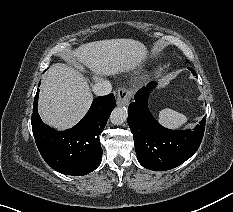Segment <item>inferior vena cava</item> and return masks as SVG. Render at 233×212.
Wrapping results in <instances>:
<instances>
[{
  "label": "inferior vena cava",
  "instance_id": "inferior-vena-cava-1",
  "mask_svg": "<svg viewBox=\"0 0 233 212\" xmlns=\"http://www.w3.org/2000/svg\"><path fill=\"white\" fill-rule=\"evenodd\" d=\"M93 92L97 95V96H104L107 95L109 93H111L112 91V85L109 81L107 80H102L97 82L93 87Z\"/></svg>",
  "mask_w": 233,
  "mask_h": 212
}]
</instances>
